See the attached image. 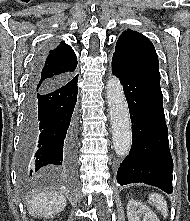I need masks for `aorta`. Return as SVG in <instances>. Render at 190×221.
Wrapping results in <instances>:
<instances>
[{
  "instance_id": "aorta-1",
  "label": "aorta",
  "mask_w": 190,
  "mask_h": 221,
  "mask_svg": "<svg viewBox=\"0 0 190 221\" xmlns=\"http://www.w3.org/2000/svg\"><path fill=\"white\" fill-rule=\"evenodd\" d=\"M107 100L114 150L117 155L123 156L131 147V122L122 85L115 76H111L107 82Z\"/></svg>"
}]
</instances>
